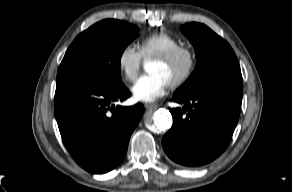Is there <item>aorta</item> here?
<instances>
[{"mask_svg": "<svg viewBox=\"0 0 292 192\" xmlns=\"http://www.w3.org/2000/svg\"><path fill=\"white\" fill-rule=\"evenodd\" d=\"M153 122L158 130L165 131L172 125V116L166 109H159L153 115Z\"/></svg>", "mask_w": 292, "mask_h": 192, "instance_id": "1", "label": "aorta"}]
</instances>
